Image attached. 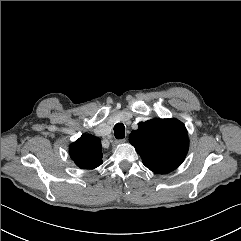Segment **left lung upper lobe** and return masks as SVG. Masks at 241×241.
Masks as SVG:
<instances>
[{
    "mask_svg": "<svg viewBox=\"0 0 241 241\" xmlns=\"http://www.w3.org/2000/svg\"><path fill=\"white\" fill-rule=\"evenodd\" d=\"M129 135V142L141 156L143 164L159 174L178 168L188 152L186 127L177 119H152L140 122Z\"/></svg>",
    "mask_w": 241,
    "mask_h": 241,
    "instance_id": "left-lung-upper-lobe-1",
    "label": "left lung upper lobe"
}]
</instances>
